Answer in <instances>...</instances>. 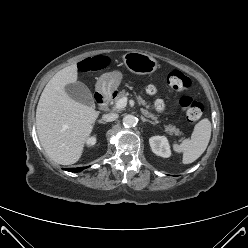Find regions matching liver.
<instances>
[{"label":"liver","mask_w":248,"mask_h":248,"mask_svg":"<svg viewBox=\"0 0 248 248\" xmlns=\"http://www.w3.org/2000/svg\"><path fill=\"white\" fill-rule=\"evenodd\" d=\"M77 65L58 71L45 86L36 110L41 146L58 164L76 163L84 150L99 112L69 97L65 86L77 81Z\"/></svg>","instance_id":"obj_1"}]
</instances>
